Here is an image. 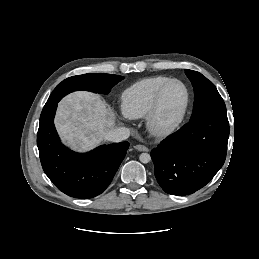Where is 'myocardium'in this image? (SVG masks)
Here are the masks:
<instances>
[{
    "label": "myocardium",
    "instance_id": "f54148a6",
    "mask_svg": "<svg viewBox=\"0 0 259 259\" xmlns=\"http://www.w3.org/2000/svg\"><path fill=\"white\" fill-rule=\"evenodd\" d=\"M171 83H179L180 85L183 86V88L185 90V95H186L185 103H184V106H183L179 116L172 123L167 124V125H162L158 122L160 101H161L163 91ZM190 99H191L190 91H189L187 85L182 80L177 79V78H169L163 84H161L158 87V89L156 90L154 97H153L151 107H150L147 115L145 116L146 117L145 118L146 127H147V130L150 132V134H152L153 136H156V137H166V136L172 134L173 132H175L185 119V116L187 114V111H188V108L190 105Z\"/></svg>",
    "mask_w": 259,
    "mask_h": 259
}]
</instances>
